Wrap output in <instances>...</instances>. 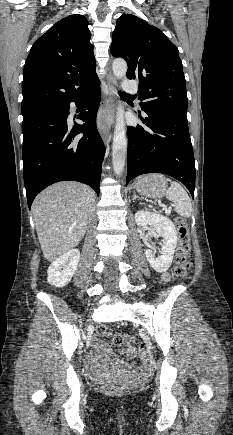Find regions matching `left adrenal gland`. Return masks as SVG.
Listing matches in <instances>:
<instances>
[{"label":"left adrenal gland","instance_id":"obj_1","mask_svg":"<svg viewBox=\"0 0 233 435\" xmlns=\"http://www.w3.org/2000/svg\"><path fill=\"white\" fill-rule=\"evenodd\" d=\"M138 198V196L136 195L135 191L133 192V198L132 201L136 200Z\"/></svg>","mask_w":233,"mask_h":435}]
</instances>
